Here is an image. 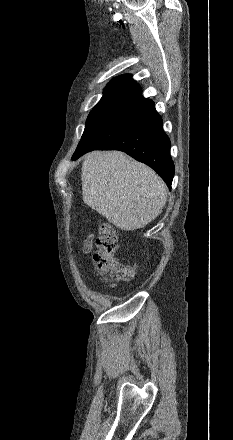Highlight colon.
<instances>
[{
    "label": "colon",
    "mask_w": 233,
    "mask_h": 440,
    "mask_svg": "<svg viewBox=\"0 0 233 440\" xmlns=\"http://www.w3.org/2000/svg\"><path fill=\"white\" fill-rule=\"evenodd\" d=\"M95 245L93 262L97 273L102 278L117 283L134 276L135 266L122 263L116 257L118 239L115 229L110 223L103 221L99 224Z\"/></svg>",
    "instance_id": "5ec220e1"
}]
</instances>
